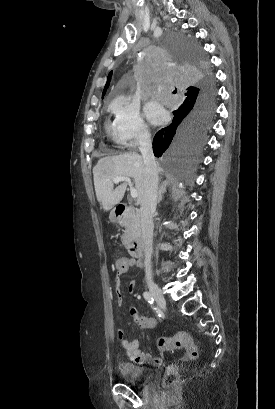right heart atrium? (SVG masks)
Masks as SVG:
<instances>
[{"label": "right heart atrium", "instance_id": "d8ad5b80", "mask_svg": "<svg viewBox=\"0 0 275 409\" xmlns=\"http://www.w3.org/2000/svg\"><path fill=\"white\" fill-rule=\"evenodd\" d=\"M115 128L124 152H135L137 147L151 138L150 124L140 110L126 100H120L113 108Z\"/></svg>", "mask_w": 275, "mask_h": 409}]
</instances>
